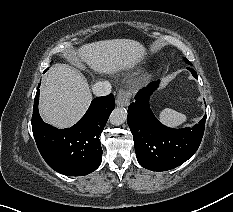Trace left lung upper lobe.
Segmentation results:
<instances>
[{"mask_svg": "<svg viewBox=\"0 0 233 212\" xmlns=\"http://www.w3.org/2000/svg\"><path fill=\"white\" fill-rule=\"evenodd\" d=\"M185 61H186L188 64H190V62H189L187 59H185Z\"/></svg>", "mask_w": 233, "mask_h": 212, "instance_id": "5c2ea615", "label": "left lung upper lobe"}]
</instances>
